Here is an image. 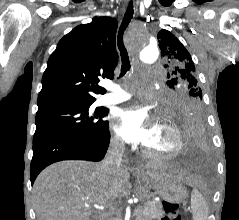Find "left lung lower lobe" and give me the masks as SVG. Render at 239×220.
<instances>
[{
  "mask_svg": "<svg viewBox=\"0 0 239 220\" xmlns=\"http://www.w3.org/2000/svg\"><path fill=\"white\" fill-rule=\"evenodd\" d=\"M175 120L182 129L186 143L183 163L192 166H203L207 163L208 135L205 129L202 107L185 108Z\"/></svg>",
  "mask_w": 239,
  "mask_h": 220,
  "instance_id": "left-lung-lower-lobe-1",
  "label": "left lung lower lobe"
}]
</instances>
